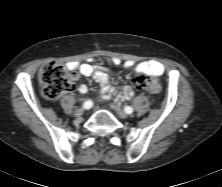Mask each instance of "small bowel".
Returning <instances> with one entry per match:
<instances>
[{"instance_id": "small-bowel-1", "label": "small bowel", "mask_w": 222, "mask_h": 187, "mask_svg": "<svg viewBox=\"0 0 222 187\" xmlns=\"http://www.w3.org/2000/svg\"><path fill=\"white\" fill-rule=\"evenodd\" d=\"M112 62L116 65L120 64L119 59H112ZM125 69L133 68L136 75L146 74L150 76H160L164 72L163 65L154 60L142 61L137 64H134L132 61H126L123 64ZM68 68L70 70H74L78 75L82 76H92L101 86V96H105L107 94H112L115 92L114 88L109 85V78L107 71L101 67H95L89 63H77L70 62L68 63ZM88 90L87 85L80 84L77 88V91L80 94L86 93ZM134 95V90L131 86H125L122 90L121 97L123 99H130Z\"/></svg>"}]
</instances>
